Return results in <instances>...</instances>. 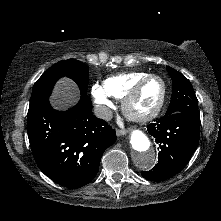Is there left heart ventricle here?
Wrapping results in <instances>:
<instances>
[{"label":"left heart ventricle","mask_w":221,"mask_h":221,"mask_svg":"<svg viewBox=\"0 0 221 221\" xmlns=\"http://www.w3.org/2000/svg\"><path fill=\"white\" fill-rule=\"evenodd\" d=\"M162 94V84L158 79L149 80L142 88L138 97L132 104L136 113H147L159 102Z\"/></svg>","instance_id":"left-heart-ventricle-1"}]
</instances>
